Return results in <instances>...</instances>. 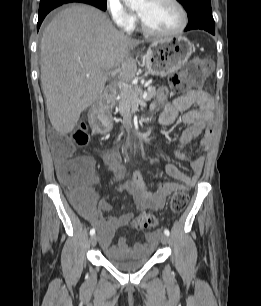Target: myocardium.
I'll return each instance as SVG.
<instances>
[{
    "mask_svg": "<svg viewBox=\"0 0 261 306\" xmlns=\"http://www.w3.org/2000/svg\"><path fill=\"white\" fill-rule=\"evenodd\" d=\"M170 3H172L179 11L180 14V22L178 26L171 30V31H158L151 27H149L144 20L137 14V23L140 27V29L151 36H157V37H172L181 34L188 25V13L184 5L181 3L180 0H168Z\"/></svg>",
    "mask_w": 261,
    "mask_h": 306,
    "instance_id": "1",
    "label": "myocardium"
}]
</instances>
